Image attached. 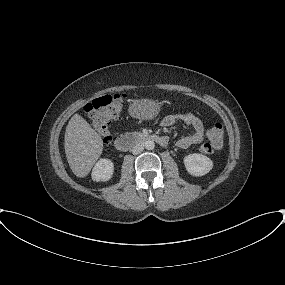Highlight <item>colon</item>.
Instances as JSON below:
<instances>
[{
    "instance_id": "colon-1",
    "label": "colon",
    "mask_w": 285,
    "mask_h": 285,
    "mask_svg": "<svg viewBox=\"0 0 285 285\" xmlns=\"http://www.w3.org/2000/svg\"><path fill=\"white\" fill-rule=\"evenodd\" d=\"M124 97L123 94L104 95L94 99L85 106V113L105 145L111 142L110 125L121 115ZM207 136L209 142L201 147L203 153L213 154L222 149L224 129L221 124L216 123L210 126Z\"/></svg>"
}]
</instances>
